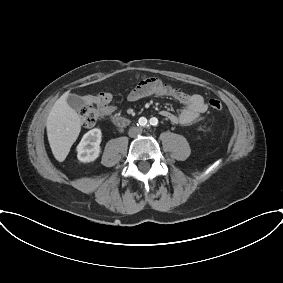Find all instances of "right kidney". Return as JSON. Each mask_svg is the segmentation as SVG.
<instances>
[{"instance_id": "ca27d5eb", "label": "right kidney", "mask_w": 283, "mask_h": 283, "mask_svg": "<svg viewBox=\"0 0 283 283\" xmlns=\"http://www.w3.org/2000/svg\"><path fill=\"white\" fill-rule=\"evenodd\" d=\"M101 138L102 132L98 128H94L84 134L76 148L77 158L84 163L96 160L101 152Z\"/></svg>"}]
</instances>
